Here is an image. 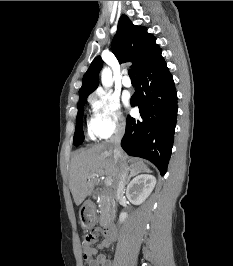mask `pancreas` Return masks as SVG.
Listing matches in <instances>:
<instances>
[{"instance_id":"obj_1","label":"pancreas","mask_w":233,"mask_h":266,"mask_svg":"<svg viewBox=\"0 0 233 266\" xmlns=\"http://www.w3.org/2000/svg\"><path fill=\"white\" fill-rule=\"evenodd\" d=\"M98 204L100 208V222L103 223L105 217L108 215L111 204L106 198H101Z\"/></svg>"}]
</instances>
